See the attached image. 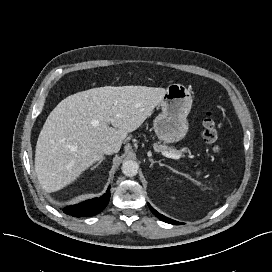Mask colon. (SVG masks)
<instances>
[{"instance_id":"5ec220e1","label":"colon","mask_w":272,"mask_h":272,"mask_svg":"<svg viewBox=\"0 0 272 272\" xmlns=\"http://www.w3.org/2000/svg\"><path fill=\"white\" fill-rule=\"evenodd\" d=\"M203 139L212 147L214 152L219 151V128L212 114H207L203 120Z\"/></svg>"}]
</instances>
